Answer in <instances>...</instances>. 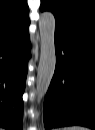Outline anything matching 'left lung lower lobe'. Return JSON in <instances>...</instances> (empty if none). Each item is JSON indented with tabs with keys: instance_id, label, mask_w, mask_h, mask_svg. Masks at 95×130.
<instances>
[{
	"instance_id": "obj_1",
	"label": "left lung lower lobe",
	"mask_w": 95,
	"mask_h": 130,
	"mask_svg": "<svg viewBox=\"0 0 95 130\" xmlns=\"http://www.w3.org/2000/svg\"><path fill=\"white\" fill-rule=\"evenodd\" d=\"M56 69L44 101L45 130L95 128V40L55 31Z\"/></svg>"
}]
</instances>
